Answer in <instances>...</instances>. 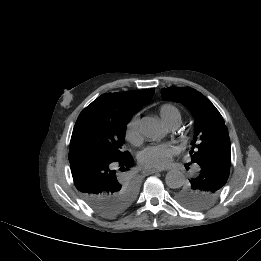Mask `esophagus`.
<instances>
[{
  "instance_id": "obj_1",
  "label": "esophagus",
  "mask_w": 261,
  "mask_h": 261,
  "mask_svg": "<svg viewBox=\"0 0 261 261\" xmlns=\"http://www.w3.org/2000/svg\"><path fill=\"white\" fill-rule=\"evenodd\" d=\"M162 169H148V170H144L143 174L144 175H150V174H154V173H158L161 172Z\"/></svg>"
}]
</instances>
